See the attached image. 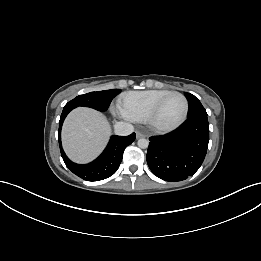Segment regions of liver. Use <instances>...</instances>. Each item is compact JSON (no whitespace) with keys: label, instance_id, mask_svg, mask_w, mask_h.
<instances>
[{"label":"liver","instance_id":"liver-1","mask_svg":"<svg viewBox=\"0 0 261 261\" xmlns=\"http://www.w3.org/2000/svg\"><path fill=\"white\" fill-rule=\"evenodd\" d=\"M110 131V124L102 113L85 107L76 108L62 127L63 148L74 162L88 163L102 152Z\"/></svg>","mask_w":261,"mask_h":261}]
</instances>
